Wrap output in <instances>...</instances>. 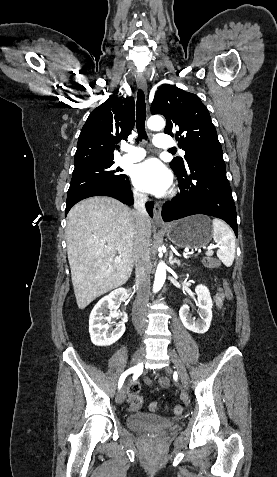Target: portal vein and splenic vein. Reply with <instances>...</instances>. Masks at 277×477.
Masks as SVG:
<instances>
[{
    "label": "portal vein and splenic vein",
    "mask_w": 277,
    "mask_h": 477,
    "mask_svg": "<svg viewBox=\"0 0 277 477\" xmlns=\"http://www.w3.org/2000/svg\"><path fill=\"white\" fill-rule=\"evenodd\" d=\"M214 248H215V246H209V247H207V248H206V254H207V255H212V254H213V251H212V250H213ZM182 256H183L184 258H189V257H190V255H188V254H183ZM116 258H120V256H116Z\"/></svg>",
    "instance_id": "18ae733b"
}]
</instances>
